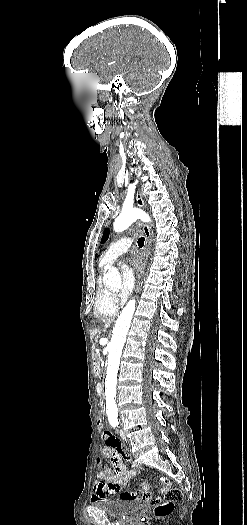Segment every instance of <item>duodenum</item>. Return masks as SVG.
Instances as JSON below:
<instances>
[{
  "label": "duodenum",
  "instance_id": "410a0bca",
  "mask_svg": "<svg viewBox=\"0 0 247 525\" xmlns=\"http://www.w3.org/2000/svg\"><path fill=\"white\" fill-rule=\"evenodd\" d=\"M93 370H94L95 375H99L100 374L101 367H100V364L98 363V361L94 362ZM97 393H98V395L101 398L104 397V390H103V386L102 385H98L97 386Z\"/></svg>",
  "mask_w": 247,
  "mask_h": 525
}]
</instances>
